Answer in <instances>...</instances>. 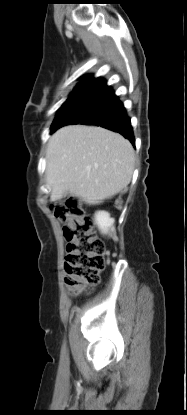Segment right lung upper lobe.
<instances>
[{"label": "right lung upper lobe", "instance_id": "right-lung-upper-lobe-1", "mask_svg": "<svg viewBox=\"0 0 187 415\" xmlns=\"http://www.w3.org/2000/svg\"><path fill=\"white\" fill-rule=\"evenodd\" d=\"M88 77H89V75H85L83 78H86L87 79Z\"/></svg>", "mask_w": 187, "mask_h": 415}]
</instances>
